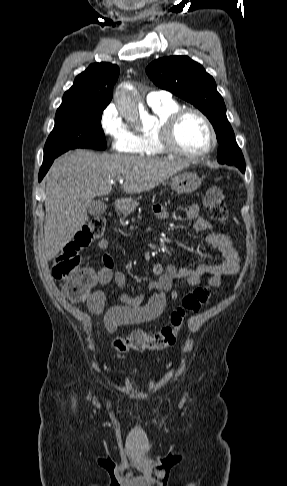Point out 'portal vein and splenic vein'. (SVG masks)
<instances>
[{
	"instance_id": "portal-vein-and-splenic-vein-1",
	"label": "portal vein and splenic vein",
	"mask_w": 287,
	"mask_h": 486,
	"mask_svg": "<svg viewBox=\"0 0 287 486\" xmlns=\"http://www.w3.org/2000/svg\"><path fill=\"white\" fill-rule=\"evenodd\" d=\"M118 181H119L120 184H122L124 180L123 179H120Z\"/></svg>"
}]
</instances>
